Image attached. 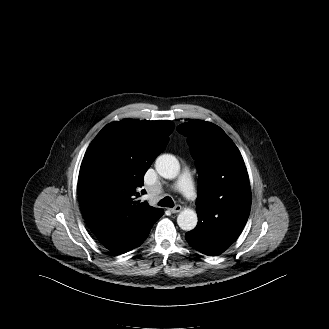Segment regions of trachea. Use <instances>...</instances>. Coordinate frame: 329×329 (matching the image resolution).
Masks as SVG:
<instances>
[{"label":"trachea","instance_id":"3493384b","mask_svg":"<svg viewBox=\"0 0 329 329\" xmlns=\"http://www.w3.org/2000/svg\"><path fill=\"white\" fill-rule=\"evenodd\" d=\"M158 204L162 207H174L173 200L168 196L161 199Z\"/></svg>","mask_w":329,"mask_h":329}]
</instances>
